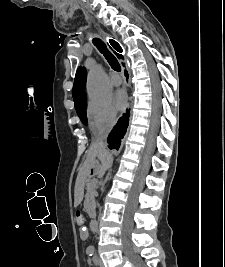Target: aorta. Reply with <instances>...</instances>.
<instances>
[{
	"instance_id": "obj_1",
	"label": "aorta",
	"mask_w": 225,
	"mask_h": 267,
	"mask_svg": "<svg viewBox=\"0 0 225 267\" xmlns=\"http://www.w3.org/2000/svg\"><path fill=\"white\" fill-rule=\"evenodd\" d=\"M87 90L90 101L95 104H103L110 99V89L100 68H93L89 71Z\"/></svg>"
}]
</instances>
